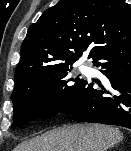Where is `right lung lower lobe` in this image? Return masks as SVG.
<instances>
[{
    "label": "right lung lower lobe",
    "mask_w": 131,
    "mask_h": 151,
    "mask_svg": "<svg viewBox=\"0 0 131 151\" xmlns=\"http://www.w3.org/2000/svg\"><path fill=\"white\" fill-rule=\"evenodd\" d=\"M90 58L107 84L94 89L93 83L83 80L60 113L131 129V33L97 49Z\"/></svg>",
    "instance_id": "right-lung-lower-lobe-1"
}]
</instances>
